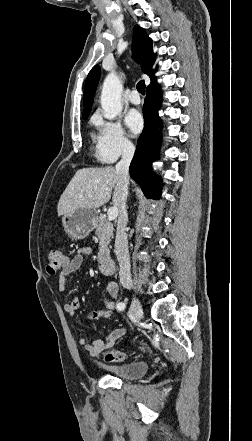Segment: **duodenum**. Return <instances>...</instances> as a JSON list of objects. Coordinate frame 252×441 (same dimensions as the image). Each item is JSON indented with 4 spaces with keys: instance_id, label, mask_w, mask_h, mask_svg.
<instances>
[{
    "instance_id": "obj_1",
    "label": "duodenum",
    "mask_w": 252,
    "mask_h": 441,
    "mask_svg": "<svg viewBox=\"0 0 252 441\" xmlns=\"http://www.w3.org/2000/svg\"><path fill=\"white\" fill-rule=\"evenodd\" d=\"M99 268L104 275H112L114 273V264L106 255H101L99 259Z\"/></svg>"
}]
</instances>
